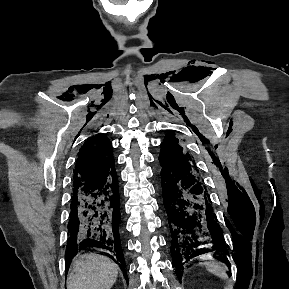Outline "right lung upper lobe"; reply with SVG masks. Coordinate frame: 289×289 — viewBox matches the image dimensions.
I'll return each instance as SVG.
<instances>
[{
  "label": "right lung upper lobe",
  "mask_w": 289,
  "mask_h": 289,
  "mask_svg": "<svg viewBox=\"0 0 289 289\" xmlns=\"http://www.w3.org/2000/svg\"><path fill=\"white\" fill-rule=\"evenodd\" d=\"M115 170L112 146L105 135H92L81 147L75 166L73 187L91 182Z\"/></svg>",
  "instance_id": "1"
}]
</instances>
